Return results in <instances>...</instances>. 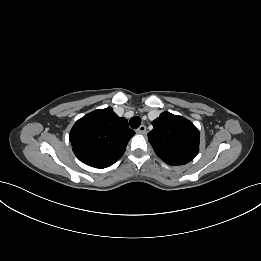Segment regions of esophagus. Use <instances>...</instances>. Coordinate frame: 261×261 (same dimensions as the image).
Wrapping results in <instances>:
<instances>
[{"label":"esophagus","mask_w":261,"mask_h":261,"mask_svg":"<svg viewBox=\"0 0 261 261\" xmlns=\"http://www.w3.org/2000/svg\"><path fill=\"white\" fill-rule=\"evenodd\" d=\"M136 132L138 134H145L146 133V126L145 125H141L137 130Z\"/></svg>","instance_id":"esophagus-1"}]
</instances>
